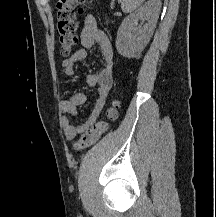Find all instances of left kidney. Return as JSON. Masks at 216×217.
Listing matches in <instances>:
<instances>
[{"instance_id": "obj_1", "label": "left kidney", "mask_w": 216, "mask_h": 217, "mask_svg": "<svg viewBox=\"0 0 216 217\" xmlns=\"http://www.w3.org/2000/svg\"><path fill=\"white\" fill-rule=\"evenodd\" d=\"M160 7V0H149L123 20L116 39V49L120 55L134 58L143 51L156 27ZM138 21L147 23L137 27Z\"/></svg>"}]
</instances>
